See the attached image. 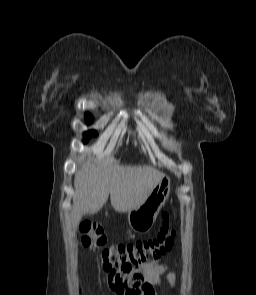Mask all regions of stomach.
<instances>
[{
	"instance_id": "0dacf381",
	"label": "stomach",
	"mask_w": 256,
	"mask_h": 295,
	"mask_svg": "<svg viewBox=\"0 0 256 295\" xmlns=\"http://www.w3.org/2000/svg\"><path fill=\"white\" fill-rule=\"evenodd\" d=\"M170 192V180L163 176L159 183L139 207L128 211V223L135 232L149 231Z\"/></svg>"
}]
</instances>
